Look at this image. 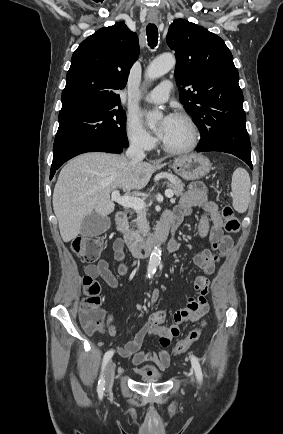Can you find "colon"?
Here are the masks:
<instances>
[{
  "instance_id": "1",
  "label": "colon",
  "mask_w": 283,
  "mask_h": 434,
  "mask_svg": "<svg viewBox=\"0 0 283 434\" xmlns=\"http://www.w3.org/2000/svg\"><path fill=\"white\" fill-rule=\"evenodd\" d=\"M221 214L225 230L231 234L237 233L240 229V221L233 208L226 205L222 208ZM104 244L105 241L101 236H83L74 241L73 250L83 261L93 263L99 258ZM83 285L85 298L81 305L79 318L83 327L88 332L94 333L101 327L104 318L100 299L101 287L96 278L88 275L83 278ZM201 334L202 328L191 330L184 339L176 343L173 353L179 355L187 351L200 338Z\"/></svg>"
}]
</instances>
